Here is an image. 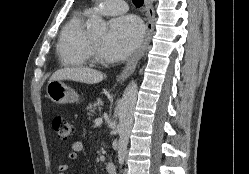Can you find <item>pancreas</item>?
Masks as SVG:
<instances>
[{"mask_svg":"<svg viewBox=\"0 0 249 174\" xmlns=\"http://www.w3.org/2000/svg\"><path fill=\"white\" fill-rule=\"evenodd\" d=\"M102 105L103 101L102 99H97L95 102L90 103L87 107L86 110H89L88 115L89 116H94L96 114V110L98 109L99 112L102 110Z\"/></svg>","mask_w":249,"mask_h":174,"instance_id":"pancreas-1","label":"pancreas"}]
</instances>
